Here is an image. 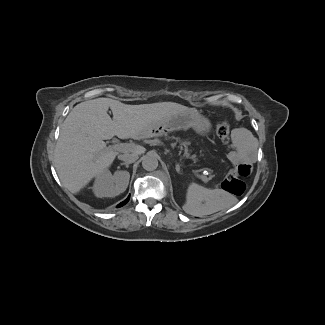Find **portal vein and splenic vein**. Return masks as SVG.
I'll return each mask as SVG.
<instances>
[{
  "mask_svg": "<svg viewBox=\"0 0 325 325\" xmlns=\"http://www.w3.org/2000/svg\"><path fill=\"white\" fill-rule=\"evenodd\" d=\"M112 148L117 151L127 152V151L135 150L137 148V146H135L134 144H129V143H115L114 145H112ZM193 172L197 175V177L202 179L205 183L208 182L207 177L198 174L197 171H193Z\"/></svg>",
  "mask_w": 325,
  "mask_h": 325,
  "instance_id": "portal-vein-and-splenic-vein-1",
  "label": "portal vein and splenic vein"
}]
</instances>
